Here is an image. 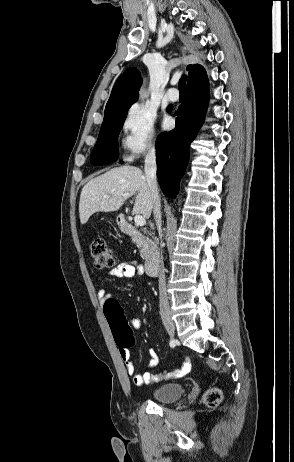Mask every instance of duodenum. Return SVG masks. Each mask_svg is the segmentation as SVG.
Instances as JSON below:
<instances>
[{"instance_id":"1","label":"duodenum","mask_w":294,"mask_h":462,"mask_svg":"<svg viewBox=\"0 0 294 462\" xmlns=\"http://www.w3.org/2000/svg\"><path fill=\"white\" fill-rule=\"evenodd\" d=\"M118 224L123 233H126L130 236L141 238V233L129 223L127 218L124 215L118 217ZM160 256L161 252L157 249H154L150 257L146 260L145 268L148 276L155 277L158 275L160 268Z\"/></svg>"}]
</instances>
